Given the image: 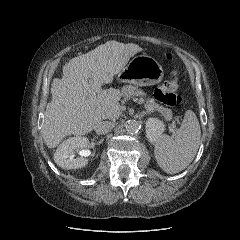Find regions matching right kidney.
<instances>
[{
  "label": "right kidney",
  "mask_w": 240,
  "mask_h": 240,
  "mask_svg": "<svg viewBox=\"0 0 240 240\" xmlns=\"http://www.w3.org/2000/svg\"><path fill=\"white\" fill-rule=\"evenodd\" d=\"M89 140L86 137L76 136L70 137L63 141L56 152L54 153V161L63 169H79L88 164V159L85 157L89 155L87 150L82 151V156L73 158L74 150L78 148H87ZM84 156V157H83Z\"/></svg>",
  "instance_id": "1"
}]
</instances>
